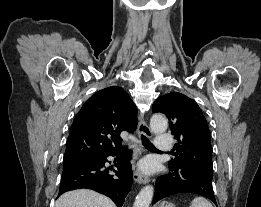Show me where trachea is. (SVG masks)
<instances>
[{"label": "trachea", "mask_w": 261, "mask_h": 207, "mask_svg": "<svg viewBox=\"0 0 261 207\" xmlns=\"http://www.w3.org/2000/svg\"><path fill=\"white\" fill-rule=\"evenodd\" d=\"M141 140H142V144L145 148H147L148 150H157L153 144H151V142L144 136H141Z\"/></svg>", "instance_id": "1"}]
</instances>
